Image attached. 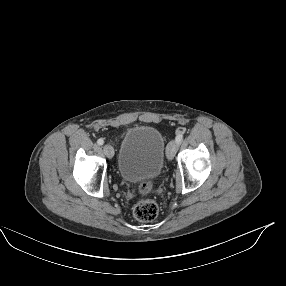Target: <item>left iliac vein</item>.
Listing matches in <instances>:
<instances>
[{"label":"left iliac vein","instance_id":"4c4485c4","mask_svg":"<svg viewBox=\"0 0 286 286\" xmlns=\"http://www.w3.org/2000/svg\"><path fill=\"white\" fill-rule=\"evenodd\" d=\"M178 148V143L176 140H172L169 142L166 150V156L168 160H172L176 154Z\"/></svg>","mask_w":286,"mask_h":286}]
</instances>
